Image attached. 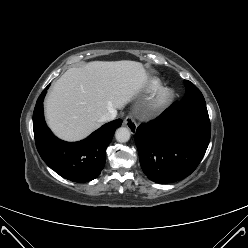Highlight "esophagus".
Instances as JSON below:
<instances>
[{
	"instance_id": "esophagus-1",
	"label": "esophagus",
	"mask_w": 248,
	"mask_h": 248,
	"mask_svg": "<svg viewBox=\"0 0 248 248\" xmlns=\"http://www.w3.org/2000/svg\"><path fill=\"white\" fill-rule=\"evenodd\" d=\"M124 126H126L131 133H135L137 130V123L135 121V119L133 118L132 115H128L125 119H124Z\"/></svg>"
}]
</instances>
